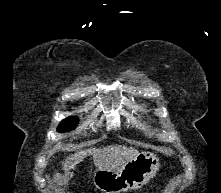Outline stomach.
Instances as JSON below:
<instances>
[{
  "label": "stomach",
  "mask_w": 221,
  "mask_h": 193,
  "mask_svg": "<svg viewBox=\"0 0 221 193\" xmlns=\"http://www.w3.org/2000/svg\"><path fill=\"white\" fill-rule=\"evenodd\" d=\"M159 158L153 153L141 152L118 170L97 169L94 186L104 193H122L146 184L159 169Z\"/></svg>",
  "instance_id": "1"
}]
</instances>
